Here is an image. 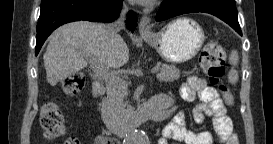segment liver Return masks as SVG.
Instances as JSON below:
<instances>
[{
	"mask_svg": "<svg viewBox=\"0 0 273 144\" xmlns=\"http://www.w3.org/2000/svg\"><path fill=\"white\" fill-rule=\"evenodd\" d=\"M87 55L108 68H118L127 63L129 49L121 36L110 34L109 25L88 21L65 24L50 35L43 55L48 83L55 86L86 68Z\"/></svg>",
	"mask_w": 273,
	"mask_h": 144,
	"instance_id": "6515ba94",
	"label": "liver"
}]
</instances>
